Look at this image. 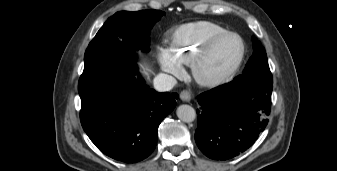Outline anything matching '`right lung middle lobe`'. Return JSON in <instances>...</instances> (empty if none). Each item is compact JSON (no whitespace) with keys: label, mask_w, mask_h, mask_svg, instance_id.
<instances>
[{"label":"right lung middle lobe","mask_w":337,"mask_h":171,"mask_svg":"<svg viewBox=\"0 0 337 171\" xmlns=\"http://www.w3.org/2000/svg\"><path fill=\"white\" fill-rule=\"evenodd\" d=\"M165 15L160 10L120 11L110 17L88 45L84 60L107 47L126 46L149 51L150 30Z\"/></svg>","instance_id":"1"}]
</instances>
